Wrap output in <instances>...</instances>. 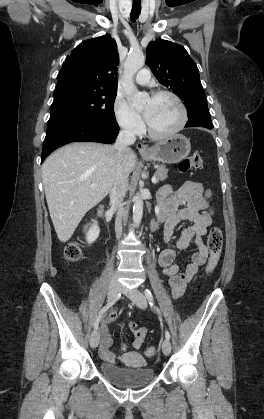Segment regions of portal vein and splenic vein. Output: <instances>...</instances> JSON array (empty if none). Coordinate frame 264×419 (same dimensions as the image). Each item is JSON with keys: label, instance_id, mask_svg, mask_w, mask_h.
Wrapping results in <instances>:
<instances>
[{"label": "portal vein and splenic vein", "instance_id": "portal-vein-and-splenic-vein-1", "mask_svg": "<svg viewBox=\"0 0 264 419\" xmlns=\"http://www.w3.org/2000/svg\"><path fill=\"white\" fill-rule=\"evenodd\" d=\"M152 183H153V184H156V183H157V178H156V176H155V175H154V177L152 178ZM91 187H93V188H94V187H96V184L92 183V184H91Z\"/></svg>", "mask_w": 264, "mask_h": 419}]
</instances>
